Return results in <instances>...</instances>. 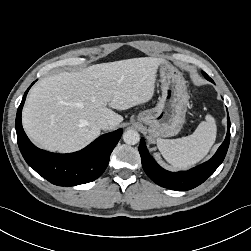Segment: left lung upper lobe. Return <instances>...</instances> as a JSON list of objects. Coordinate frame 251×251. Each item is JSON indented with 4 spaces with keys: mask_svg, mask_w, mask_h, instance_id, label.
<instances>
[{
    "mask_svg": "<svg viewBox=\"0 0 251 251\" xmlns=\"http://www.w3.org/2000/svg\"><path fill=\"white\" fill-rule=\"evenodd\" d=\"M202 73H203V75H204L208 80H211L205 72H202Z\"/></svg>",
    "mask_w": 251,
    "mask_h": 251,
    "instance_id": "1",
    "label": "left lung upper lobe"
}]
</instances>
